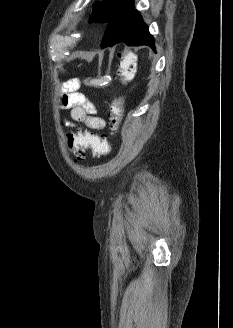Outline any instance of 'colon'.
Here are the masks:
<instances>
[{"label":"colon","instance_id":"5ec220e1","mask_svg":"<svg viewBox=\"0 0 233 328\" xmlns=\"http://www.w3.org/2000/svg\"><path fill=\"white\" fill-rule=\"evenodd\" d=\"M135 56L133 53L119 54L117 76L121 82L130 81L135 72ZM123 118V100L115 98L111 105L110 119L114 131H117ZM67 146L73 154L74 162L86 159L87 153L92 152L95 157H103L110 152L109 144L103 138L90 134L79 133L67 138Z\"/></svg>","mask_w":233,"mask_h":328}]
</instances>
